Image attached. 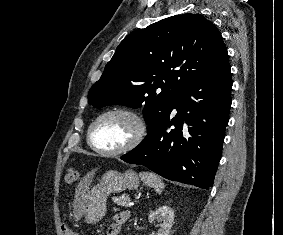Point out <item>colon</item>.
Returning a JSON list of instances; mask_svg holds the SVG:
<instances>
[{"label": "colon", "instance_id": "5ec220e1", "mask_svg": "<svg viewBox=\"0 0 283 235\" xmlns=\"http://www.w3.org/2000/svg\"><path fill=\"white\" fill-rule=\"evenodd\" d=\"M78 179V171L74 168H69L65 172L64 180L66 184H72ZM64 235H71L70 230L64 229Z\"/></svg>", "mask_w": 283, "mask_h": 235}]
</instances>
